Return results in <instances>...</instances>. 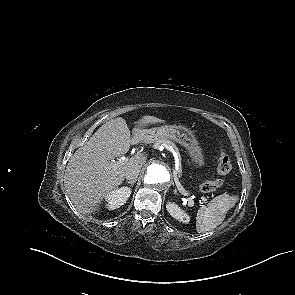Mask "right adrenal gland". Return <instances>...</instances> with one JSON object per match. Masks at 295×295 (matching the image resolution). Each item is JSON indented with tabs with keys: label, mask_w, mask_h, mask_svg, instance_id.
Masks as SVG:
<instances>
[{
	"label": "right adrenal gland",
	"mask_w": 295,
	"mask_h": 295,
	"mask_svg": "<svg viewBox=\"0 0 295 295\" xmlns=\"http://www.w3.org/2000/svg\"><path fill=\"white\" fill-rule=\"evenodd\" d=\"M126 183H127V184H130V186H133V185H134V183H136V180L127 181Z\"/></svg>",
	"instance_id": "right-adrenal-gland-1"
}]
</instances>
